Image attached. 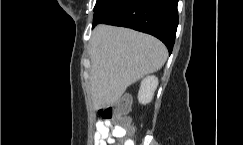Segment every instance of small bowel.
Returning <instances> with one entry per match:
<instances>
[{
  "label": "small bowel",
  "instance_id": "1",
  "mask_svg": "<svg viewBox=\"0 0 243 145\" xmlns=\"http://www.w3.org/2000/svg\"><path fill=\"white\" fill-rule=\"evenodd\" d=\"M125 131L119 126H114L109 120H100L96 125L94 135V145H113L115 138L125 137ZM124 145H134L131 139L127 140Z\"/></svg>",
  "mask_w": 243,
  "mask_h": 145
}]
</instances>
